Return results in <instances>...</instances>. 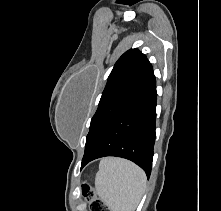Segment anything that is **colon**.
Masks as SVG:
<instances>
[{
    "mask_svg": "<svg viewBox=\"0 0 221 211\" xmlns=\"http://www.w3.org/2000/svg\"><path fill=\"white\" fill-rule=\"evenodd\" d=\"M83 195L89 201L90 211H110L107 204L97 197L96 193L89 185H83Z\"/></svg>",
    "mask_w": 221,
    "mask_h": 211,
    "instance_id": "obj_1",
    "label": "colon"
}]
</instances>
